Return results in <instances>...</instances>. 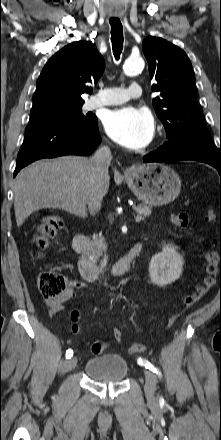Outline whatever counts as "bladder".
I'll return each instance as SVG.
<instances>
[{
    "mask_svg": "<svg viewBox=\"0 0 221 440\" xmlns=\"http://www.w3.org/2000/svg\"><path fill=\"white\" fill-rule=\"evenodd\" d=\"M129 371L127 360L120 354H102L85 364L86 375L99 382L120 383Z\"/></svg>",
    "mask_w": 221,
    "mask_h": 440,
    "instance_id": "obj_1",
    "label": "bladder"
}]
</instances>
